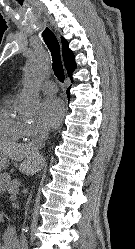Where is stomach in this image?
Returning <instances> with one entry per match:
<instances>
[{"instance_id": "obj_1", "label": "stomach", "mask_w": 135, "mask_h": 249, "mask_svg": "<svg viewBox=\"0 0 135 249\" xmlns=\"http://www.w3.org/2000/svg\"><path fill=\"white\" fill-rule=\"evenodd\" d=\"M7 164H8V159L4 156H0V185H3L4 178H6V183L9 182V178L5 173H3Z\"/></svg>"}]
</instances>
